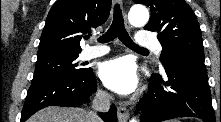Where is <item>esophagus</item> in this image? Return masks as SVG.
<instances>
[{"instance_id":"esophagus-1","label":"esophagus","mask_w":221,"mask_h":122,"mask_svg":"<svg viewBox=\"0 0 221 122\" xmlns=\"http://www.w3.org/2000/svg\"><path fill=\"white\" fill-rule=\"evenodd\" d=\"M119 2L121 4V7L123 8V1L120 0ZM123 15H124V18H125V23H126L127 28H130L127 21H126V12H125V10L123 11ZM117 116H118L119 122H126L129 118L128 109L125 106L119 105L117 107Z\"/></svg>"}]
</instances>
